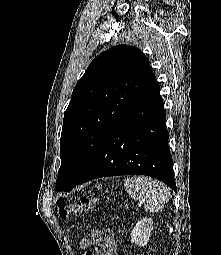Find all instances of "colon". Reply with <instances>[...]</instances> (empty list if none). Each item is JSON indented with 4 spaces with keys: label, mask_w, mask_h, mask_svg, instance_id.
Segmentation results:
<instances>
[{
    "label": "colon",
    "mask_w": 221,
    "mask_h": 255,
    "mask_svg": "<svg viewBox=\"0 0 221 255\" xmlns=\"http://www.w3.org/2000/svg\"><path fill=\"white\" fill-rule=\"evenodd\" d=\"M97 204V199L92 196H83L67 203L62 199L57 200L59 216L62 219L68 216H79L92 210ZM82 255H94L89 249L84 250Z\"/></svg>",
    "instance_id": "1"
}]
</instances>
